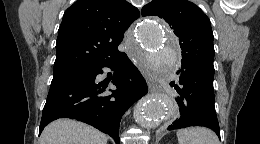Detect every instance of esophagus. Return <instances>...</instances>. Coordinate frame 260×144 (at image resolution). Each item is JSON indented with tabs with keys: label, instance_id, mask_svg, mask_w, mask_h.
I'll return each mask as SVG.
<instances>
[{
	"label": "esophagus",
	"instance_id": "1",
	"mask_svg": "<svg viewBox=\"0 0 260 144\" xmlns=\"http://www.w3.org/2000/svg\"><path fill=\"white\" fill-rule=\"evenodd\" d=\"M147 84H148V88L150 92H154L158 90V85L156 83V81L154 80V78L151 75H145Z\"/></svg>",
	"mask_w": 260,
	"mask_h": 144
}]
</instances>
